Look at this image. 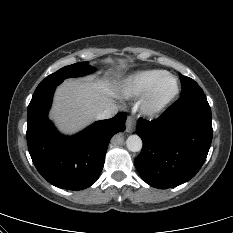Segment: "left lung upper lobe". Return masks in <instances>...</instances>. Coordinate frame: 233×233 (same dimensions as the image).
Here are the masks:
<instances>
[{
    "instance_id": "left-lung-upper-lobe-1",
    "label": "left lung upper lobe",
    "mask_w": 233,
    "mask_h": 233,
    "mask_svg": "<svg viewBox=\"0 0 233 233\" xmlns=\"http://www.w3.org/2000/svg\"><path fill=\"white\" fill-rule=\"evenodd\" d=\"M182 82V94L189 95L195 93H203L201 87L191 78L180 75Z\"/></svg>"
}]
</instances>
